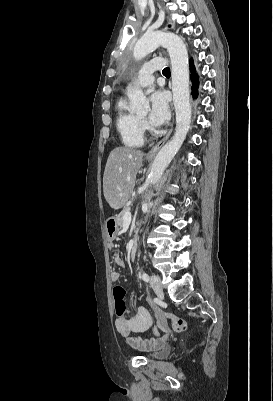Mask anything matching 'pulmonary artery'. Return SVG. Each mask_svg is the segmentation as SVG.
Instances as JSON below:
<instances>
[{
  "mask_svg": "<svg viewBox=\"0 0 273 401\" xmlns=\"http://www.w3.org/2000/svg\"><path fill=\"white\" fill-rule=\"evenodd\" d=\"M164 63H166V60H164V58L153 57V58H151L150 63L144 64L143 69H141L139 71V74L141 76H143L142 81H140V83H139L140 88L145 89V88H147L148 83L154 82L155 77L152 74L155 69V66H156V69H159V66L164 65Z\"/></svg>",
  "mask_w": 273,
  "mask_h": 401,
  "instance_id": "obj_1",
  "label": "pulmonary artery"
}]
</instances>
